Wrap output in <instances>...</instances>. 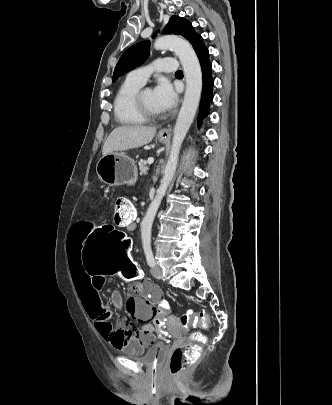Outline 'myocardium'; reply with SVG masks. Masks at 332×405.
I'll list each match as a JSON object with an SVG mask.
<instances>
[{
    "label": "myocardium",
    "mask_w": 332,
    "mask_h": 405,
    "mask_svg": "<svg viewBox=\"0 0 332 405\" xmlns=\"http://www.w3.org/2000/svg\"><path fill=\"white\" fill-rule=\"evenodd\" d=\"M146 90H147V89H140V90L136 93L135 99H134L135 107H136V110H137L138 114H139L145 121H153V120L158 119V118L160 117V114L153 113V112H151V111L147 108V106H146V104H145V102H144V100H143V94H144V92H145Z\"/></svg>",
    "instance_id": "myocardium-1"
}]
</instances>
